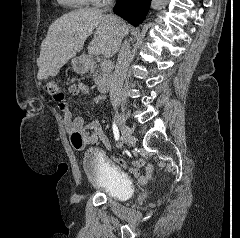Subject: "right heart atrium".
<instances>
[{
    "label": "right heart atrium",
    "instance_id": "obj_1",
    "mask_svg": "<svg viewBox=\"0 0 240 238\" xmlns=\"http://www.w3.org/2000/svg\"><path fill=\"white\" fill-rule=\"evenodd\" d=\"M94 1L105 2V1H107V0H94Z\"/></svg>",
    "mask_w": 240,
    "mask_h": 238
}]
</instances>
